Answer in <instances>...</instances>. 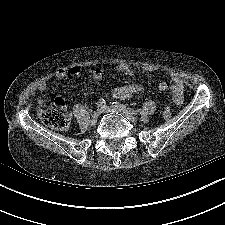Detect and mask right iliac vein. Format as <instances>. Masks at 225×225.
Returning <instances> with one entry per match:
<instances>
[{
  "instance_id": "obj_1",
  "label": "right iliac vein",
  "mask_w": 225,
  "mask_h": 225,
  "mask_svg": "<svg viewBox=\"0 0 225 225\" xmlns=\"http://www.w3.org/2000/svg\"><path fill=\"white\" fill-rule=\"evenodd\" d=\"M101 111L100 110H96L92 113L91 115V119H90V123L92 125L96 124L98 118H99V115H100Z\"/></svg>"
}]
</instances>
